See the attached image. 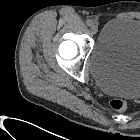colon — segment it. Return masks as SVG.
I'll return each mask as SVG.
<instances>
[{"instance_id":"5ec220e1","label":"colon","mask_w":140,"mask_h":140,"mask_svg":"<svg viewBox=\"0 0 140 140\" xmlns=\"http://www.w3.org/2000/svg\"><path fill=\"white\" fill-rule=\"evenodd\" d=\"M110 107L116 111H124L127 108V102L121 98H113L109 102Z\"/></svg>"}]
</instances>
